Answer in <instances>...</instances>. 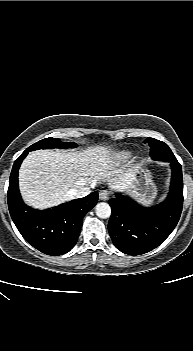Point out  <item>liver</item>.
Segmentation results:
<instances>
[{
	"instance_id": "1",
	"label": "liver",
	"mask_w": 193,
	"mask_h": 351,
	"mask_svg": "<svg viewBox=\"0 0 193 351\" xmlns=\"http://www.w3.org/2000/svg\"><path fill=\"white\" fill-rule=\"evenodd\" d=\"M118 165L102 146L78 152L33 151L19 170L20 191L27 204L46 209L73 199L71 190L94 187L101 180L112 189L126 190L134 178Z\"/></svg>"
}]
</instances>
